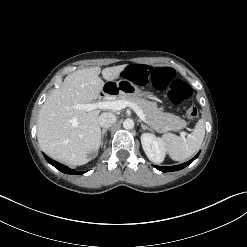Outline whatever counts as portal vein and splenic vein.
<instances>
[{"label": "portal vein and splenic vein", "mask_w": 247, "mask_h": 247, "mask_svg": "<svg viewBox=\"0 0 247 247\" xmlns=\"http://www.w3.org/2000/svg\"><path fill=\"white\" fill-rule=\"evenodd\" d=\"M126 107L132 108L138 117L146 122V117L142 110L134 103L124 100H114V101H100L96 103H88V104H76L73 106L74 109L92 111L95 109H107V110H122Z\"/></svg>", "instance_id": "18ae733b"}]
</instances>
